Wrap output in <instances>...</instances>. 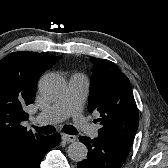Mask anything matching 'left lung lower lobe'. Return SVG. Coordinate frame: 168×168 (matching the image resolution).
<instances>
[{"label":"left lung lower lobe","instance_id":"left-lung-lower-lobe-1","mask_svg":"<svg viewBox=\"0 0 168 168\" xmlns=\"http://www.w3.org/2000/svg\"><path fill=\"white\" fill-rule=\"evenodd\" d=\"M80 141L87 146L88 157L77 164L78 168H121L129 154L127 144L108 135L99 134L94 139L81 136Z\"/></svg>","mask_w":168,"mask_h":168}]
</instances>
